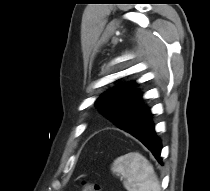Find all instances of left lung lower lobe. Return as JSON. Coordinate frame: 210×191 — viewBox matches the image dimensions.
<instances>
[{
    "label": "left lung lower lobe",
    "mask_w": 210,
    "mask_h": 191,
    "mask_svg": "<svg viewBox=\"0 0 210 191\" xmlns=\"http://www.w3.org/2000/svg\"><path fill=\"white\" fill-rule=\"evenodd\" d=\"M131 119H136L138 124L130 134L140 140L152 152L157 161L162 164L160 157L161 141L154 130L150 109L143 104L140 105L131 113Z\"/></svg>",
    "instance_id": "1"
}]
</instances>
